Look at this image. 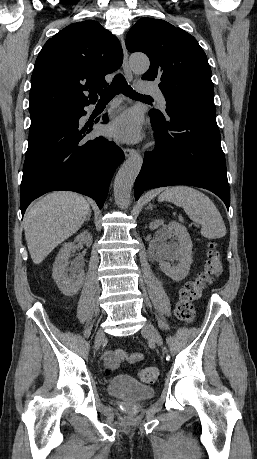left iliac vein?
Segmentation results:
<instances>
[{"mask_svg": "<svg viewBox=\"0 0 257 459\" xmlns=\"http://www.w3.org/2000/svg\"><path fill=\"white\" fill-rule=\"evenodd\" d=\"M142 334L146 335L152 342L156 343L158 346L163 345V340L159 332L150 322H147L144 325V327L142 328Z\"/></svg>", "mask_w": 257, "mask_h": 459, "instance_id": "1", "label": "left iliac vein"}]
</instances>
